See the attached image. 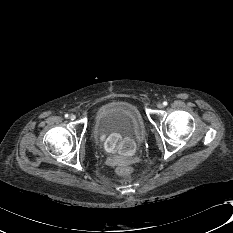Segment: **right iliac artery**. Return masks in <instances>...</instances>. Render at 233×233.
I'll use <instances>...</instances> for the list:
<instances>
[{
	"mask_svg": "<svg viewBox=\"0 0 233 233\" xmlns=\"http://www.w3.org/2000/svg\"><path fill=\"white\" fill-rule=\"evenodd\" d=\"M68 116H69L68 114H65V118H68Z\"/></svg>",
	"mask_w": 233,
	"mask_h": 233,
	"instance_id": "1",
	"label": "right iliac artery"
}]
</instances>
